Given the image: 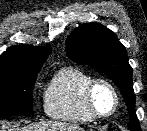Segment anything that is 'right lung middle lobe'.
<instances>
[{
	"instance_id": "dd1d6c3e",
	"label": "right lung middle lobe",
	"mask_w": 147,
	"mask_h": 131,
	"mask_svg": "<svg viewBox=\"0 0 147 131\" xmlns=\"http://www.w3.org/2000/svg\"><path fill=\"white\" fill-rule=\"evenodd\" d=\"M38 72L0 71V118L33 111L32 89Z\"/></svg>"
}]
</instances>
